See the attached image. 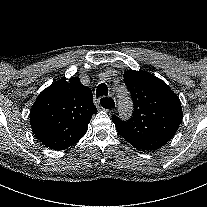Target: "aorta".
Instances as JSON below:
<instances>
[{"mask_svg": "<svg viewBox=\"0 0 207 207\" xmlns=\"http://www.w3.org/2000/svg\"><path fill=\"white\" fill-rule=\"evenodd\" d=\"M119 101H118V107H119V114L122 118H129L132 113V102L130 97L128 96L127 91H122L119 94Z\"/></svg>", "mask_w": 207, "mask_h": 207, "instance_id": "aorta-1", "label": "aorta"}]
</instances>
